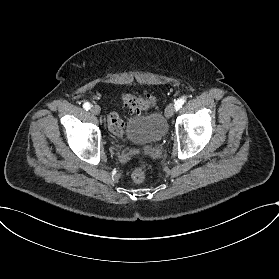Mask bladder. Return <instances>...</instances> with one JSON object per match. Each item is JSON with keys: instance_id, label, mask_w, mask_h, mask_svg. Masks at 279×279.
Wrapping results in <instances>:
<instances>
[{"instance_id": "bladder-1", "label": "bladder", "mask_w": 279, "mask_h": 279, "mask_svg": "<svg viewBox=\"0 0 279 279\" xmlns=\"http://www.w3.org/2000/svg\"><path fill=\"white\" fill-rule=\"evenodd\" d=\"M129 140L139 146H149L161 141L167 133V117L160 111L152 114L131 117L126 120Z\"/></svg>"}]
</instances>
